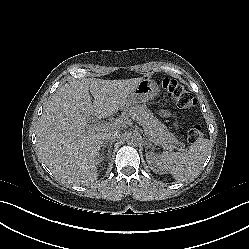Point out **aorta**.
Wrapping results in <instances>:
<instances>
[{"mask_svg": "<svg viewBox=\"0 0 249 249\" xmlns=\"http://www.w3.org/2000/svg\"><path fill=\"white\" fill-rule=\"evenodd\" d=\"M138 141H139V137L136 135V134H129L127 137H126V142L127 144L129 145H137L138 144Z\"/></svg>", "mask_w": 249, "mask_h": 249, "instance_id": "1", "label": "aorta"}]
</instances>
